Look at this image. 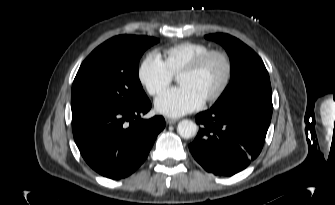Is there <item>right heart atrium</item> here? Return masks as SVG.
Returning a JSON list of instances; mask_svg holds the SVG:
<instances>
[{"mask_svg": "<svg viewBox=\"0 0 335 205\" xmlns=\"http://www.w3.org/2000/svg\"><path fill=\"white\" fill-rule=\"evenodd\" d=\"M138 79L150 95L156 96L171 83L173 75L158 54L150 53L139 66Z\"/></svg>", "mask_w": 335, "mask_h": 205, "instance_id": "d8ad5b80", "label": "right heart atrium"}]
</instances>
